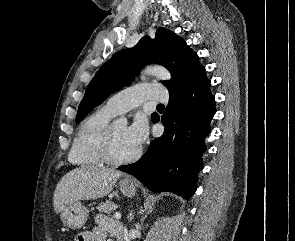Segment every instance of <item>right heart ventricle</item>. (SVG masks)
Returning <instances> with one entry per match:
<instances>
[{
  "instance_id": "e07e8e85",
  "label": "right heart ventricle",
  "mask_w": 295,
  "mask_h": 241,
  "mask_svg": "<svg viewBox=\"0 0 295 241\" xmlns=\"http://www.w3.org/2000/svg\"><path fill=\"white\" fill-rule=\"evenodd\" d=\"M115 115L114 111L103 106L81 123L68 156L71 164L93 167L103 163L99 155V144Z\"/></svg>"
}]
</instances>
